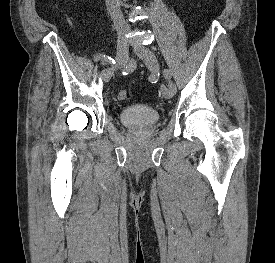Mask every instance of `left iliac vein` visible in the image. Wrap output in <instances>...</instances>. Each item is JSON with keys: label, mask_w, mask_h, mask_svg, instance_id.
<instances>
[{"label": "left iliac vein", "mask_w": 275, "mask_h": 263, "mask_svg": "<svg viewBox=\"0 0 275 263\" xmlns=\"http://www.w3.org/2000/svg\"><path fill=\"white\" fill-rule=\"evenodd\" d=\"M133 49H134V52L139 56V58L145 63L147 68L153 74H159L160 72L159 62L155 54L152 52L150 48L142 44H136L134 45ZM161 91H162L163 97L166 99H169L174 96V92L169 86L163 85Z\"/></svg>", "instance_id": "4c4485c4"}]
</instances>
